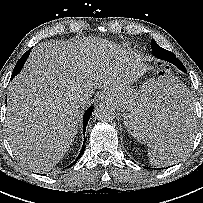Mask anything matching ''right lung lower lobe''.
<instances>
[{
	"label": "right lung lower lobe",
	"mask_w": 203,
	"mask_h": 203,
	"mask_svg": "<svg viewBox=\"0 0 203 203\" xmlns=\"http://www.w3.org/2000/svg\"><path fill=\"white\" fill-rule=\"evenodd\" d=\"M29 54H30V50L27 51V52H25L24 55L19 59V61L17 62L16 66H15L18 70L21 71V69H22V67H23V65H24V63H25V61L27 60ZM93 108H94L93 106H90V107L86 110V112L84 113V116H83V130H84V134H85V131H86L87 123H88L89 118H90V116H91V114H92ZM84 144H85V139H84ZM84 144H83V147H82V149H81V151H80V154H79L77 160L81 157V154H83L84 151H85V147H86V146H85ZM77 160H75L71 165H69V167H71L72 165H74ZM67 168H68V167H67Z\"/></svg>",
	"instance_id": "1"
}]
</instances>
